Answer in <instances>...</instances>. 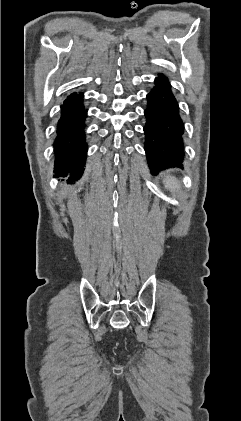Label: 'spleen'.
<instances>
[{"label": "spleen", "instance_id": "spleen-1", "mask_svg": "<svg viewBox=\"0 0 241 421\" xmlns=\"http://www.w3.org/2000/svg\"><path fill=\"white\" fill-rule=\"evenodd\" d=\"M164 183L167 190L176 192L179 189V183L174 177L166 176Z\"/></svg>", "mask_w": 241, "mask_h": 421}]
</instances>
